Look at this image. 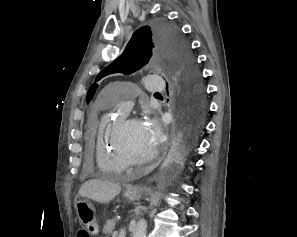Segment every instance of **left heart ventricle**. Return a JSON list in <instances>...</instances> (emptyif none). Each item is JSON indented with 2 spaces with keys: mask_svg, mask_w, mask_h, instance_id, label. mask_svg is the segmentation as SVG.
<instances>
[{
  "mask_svg": "<svg viewBox=\"0 0 297 237\" xmlns=\"http://www.w3.org/2000/svg\"><path fill=\"white\" fill-rule=\"evenodd\" d=\"M122 138L128 151L137 158H144L155 150V146L144 135L139 121L130 124Z\"/></svg>",
  "mask_w": 297,
  "mask_h": 237,
  "instance_id": "b2bd125f",
  "label": "left heart ventricle"
}]
</instances>
